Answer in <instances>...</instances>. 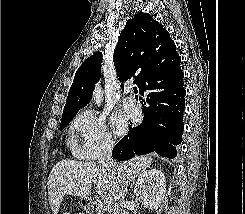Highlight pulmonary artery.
I'll return each mask as SVG.
<instances>
[{"label":"pulmonary artery","instance_id":"e3ab8cb5","mask_svg":"<svg viewBox=\"0 0 245 214\" xmlns=\"http://www.w3.org/2000/svg\"><path fill=\"white\" fill-rule=\"evenodd\" d=\"M123 107L125 111L130 115V116H135L138 114V106L136 105L135 101L132 99L131 96L124 97L122 101Z\"/></svg>","mask_w":245,"mask_h":214}]
</instances>
